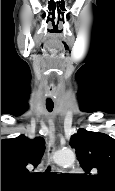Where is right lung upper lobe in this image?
<instances>
[{"label":"right lung upper lobe","instance_id":"1","mask_svg":"<svg viewBox=\"0 0 115 191\" xmlns=\"http://www.w3.org/2000/svg\"><path fill=\"white\" fill-rule=\"evenodd\" d=\"M45 150V140L25 135L1 140V188H14L30 174L28 167H36Z\"/></svg>","mask_w":115,"mask_h":191}]
</instances>
